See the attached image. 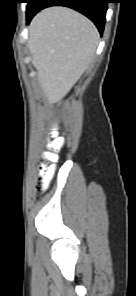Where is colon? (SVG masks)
<instances>
[{
	"label": "colon",
	"mask_w": 136,
	"mask_h": 296,
	"mask_svg": "<svg viewBox=\"0 0 136 296\" xmlns=\"http://www.w3.org/2000/svg\"><path fill=\"white\" fill-rule=\"evenodd\" d=\"M48 146L49 151L44 154L45 162L40 165L39 175L36 181L38 191H43L47 188L55 169L57 151L62 148L63 141L57 138L51 141Z\"/></svg>",
	"instance_id": "colon-1"
}]
</instances>
